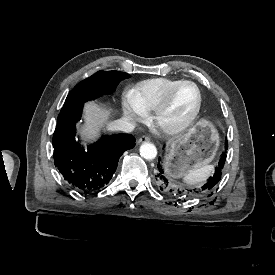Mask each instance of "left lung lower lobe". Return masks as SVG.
I'll return each instance as SVG.
<instances>
[{
	"mask_svg": "<svg viewBox=\"0 0 275 275\" xmlns=\"http://www.w3.org/2000/svg\"><path fill=\"white\" fill-rule=\"evenodd\" d=\"M226 149H228V143L226 142ZM226 160V155L224 154L218 166H216L214 170L213 176H211L207 182H205L201 187L194 189H179L176 188L164 175L163 164L161 159H159L157 168L155 171V181L157 186L160 188L162 192L169 195H180V196H196L200 194L211 193L217 183L221 180L224 162ZM212 194V193H211ZM209 194V196L211 195Z\"/></svg>",
	"mask_w": 275,
	"mask_h": 275,
	"instance_id": "left-lung-lower-lobe-1",
	"label": "left lung lower lobe"
}]
</instances>
